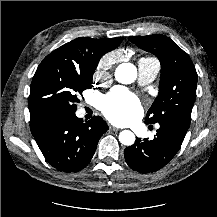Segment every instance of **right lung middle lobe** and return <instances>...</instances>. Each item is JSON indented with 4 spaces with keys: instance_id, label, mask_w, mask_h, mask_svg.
<instances>
[{
    "instance_id": "dd1d6c3e",
    "label": "right lung middle lobe",
    "mask_w": 217,
    "mask_h": 217,
    "mask_svg": "<svg viewBox=\"0 0 217 217\" xmlns=\"http://www.w3.org/2000/svg\"><path fill=\"white\" fill-rule=\"evenodd\" d=\"M95 68H76L57 60L44 59L38 66L30 87V118L75 113L79 95L93 87Z\"/></svg>"
}]
</instances>
